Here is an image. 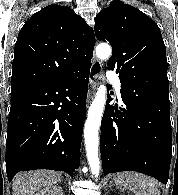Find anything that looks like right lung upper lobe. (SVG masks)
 <instances>
[{
  "label": "right lung upper lobe",
  "mask_w": 178,
  "mask_h": 195,
  "mask_svg": "<svg viewBox=\"0 0 178 195\" xmlns=\"http://www.w3.org/2000/svg\"><path fill=\"white\" fill-rule=\"evenodd\" d=\"M95 35L73 9L57 4L35 13L15 44L11 90L69 78L91 66Z\"/></svg>",
  "instance_id": "obj_1"
}]
</instances>
